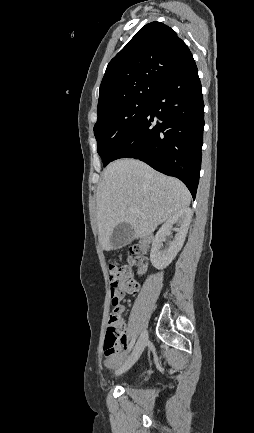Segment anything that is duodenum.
<instances>
[{
	"label": "duodenum",
	"instance_id": "duodenum-1",
	"mask_svg": "<svg viewBox=\"0 0 254 433\" xmlns=\"http://www.w3.org/2000/svg\"><path fill=\"white\" fill-rule=\"evenodd\" d=\"M152 240H153L152 235H148V236L144 237L141 241V246L143 248H145L147 245H149L152 242ZM143 270H144V264L140 267L139 272L141 273V272H143Z\"/></svg>",
	"mask_w": 254,
	"mask_h": 433
}]
</instances>
